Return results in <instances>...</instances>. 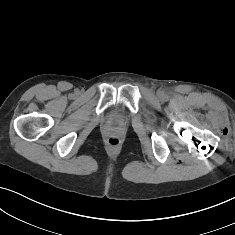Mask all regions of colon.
<instances>
[{
    "label": "colon",
    "mask_w": 235,
    "mask_h": 235,
    "mask_svg": "<svg viewBox=\"0 0 235 235\" xmlns=\"http://www.w3.org/2000/svg\"><path fill=\"white\" fill-rule=\"evenodd\" d=\"M119 139L116 137H111L108 139V145L112 148H116L119 145Z\"/></svg>",
    "instance_id": "1"
}]
</instances>
